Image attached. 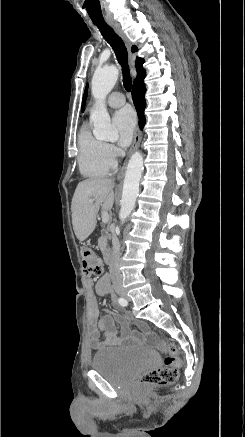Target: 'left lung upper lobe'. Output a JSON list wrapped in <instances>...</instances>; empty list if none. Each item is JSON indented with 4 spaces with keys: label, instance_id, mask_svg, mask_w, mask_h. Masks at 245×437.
<instances>
[{
    "label": "left lung upper lobe",
    "instance_id": "5c2ea615",
    "mask_svg": "<svg viewBox=\"0 0 245 437\" xmlns=\"http://www.w3.org/2000/svg\"><path fill=\"white\" fill-rule=\"evenodd\" d=\"M87 92H88V85H86V89H85V92H84V98H83V102H82V111L85 108Z\"/></svg>",
    "mask_w": 245,
    "mask_h": 437
}]
</instances>
